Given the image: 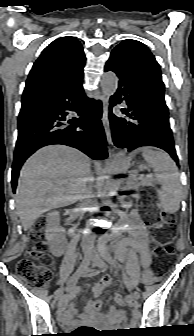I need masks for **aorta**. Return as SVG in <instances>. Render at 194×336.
<instances>
[{
	"mask_svg": "<svg viewBox=\"0 0 194 336\" xmlns=\"http://www.w3.org/2000/svg\"><path fill=\"white\" fill-rule=\"evenodd\" d=\"M102 92L112 96L118 87V79L115 73L107 72L101 79ZM127 170V160L123 151L119 152L108 168V176L105 181L104 191L108 198L116 196L121 185V175ZM110 203L111 201L108 200Z\"/></svg>",
	"mask_w": 194,
	"mask_h": 336,
	"instance_id": "aorta-1",
	"label": "aorta"
}]
</instances>
